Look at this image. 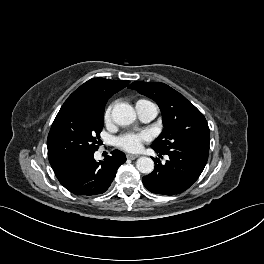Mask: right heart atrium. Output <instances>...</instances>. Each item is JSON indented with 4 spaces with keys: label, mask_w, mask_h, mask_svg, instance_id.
Wrapping results in <instances>:
<instances>
[{
    "label": "right heart atrium",
    "mask_w": 264,
    "mask_h": 264,
    "mask_svg": "<svg viewBox=\"0 0 264 264\" xmlns=\"http://www.w3.org/2000/svg\"><path fill=\"white\" fill-rule=\"evenodd\" d=\"M111 114H112V104L108 105L107 108L104 111L103 118H104V122L106 124L110 123V121H111Z\"/></svg>",
    "instance_id": "obj_1"
}]
</instances>
